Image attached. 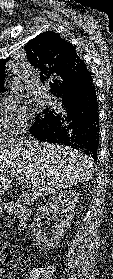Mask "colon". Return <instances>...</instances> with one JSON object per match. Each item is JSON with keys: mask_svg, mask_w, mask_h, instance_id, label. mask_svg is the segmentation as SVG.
<instances>
[{"mask_svg": "<svg viewBox=\"0 0 113 279\" xmlns=\"http://www.w3.org/2000/svg\"><path fill=\"white\" fill-rule=\"evenodd\" d=\"M8 259V256L6 255V252L4 249L0 247V265L1 263H4Z\"/></svg>", "mask_w": 113, "mask_h": 279, "instance_id": "colon-1", "label": "colon"}]
</instances>
